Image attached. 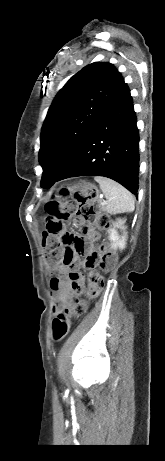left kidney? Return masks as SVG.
<instances>
[{
  "label": "left kidney",
  "mask_w": 165,
  "mask_h": 461,
  "mask_svg": "<svg viewBox=\"0 0 165 461\" xmlns=\"http://www.w3.org/2000/svg\"><path fill=\"white\" fill-rule=\"evenodd\" d=\"M126 222L125 219H117V222L114 224V228L110 230L109 232V239L112 242V248L114 249H124L126 246V240H127V233L125 232L126 227L124 226V223ZM116 228H119L123 230V236H120L116 230Z\"/></svg>",
  "instance_id": "5707ae66"
}]
</instances>
